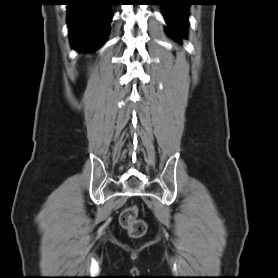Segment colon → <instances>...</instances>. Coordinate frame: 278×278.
<instances>
[{
	"instance_id": "1",
	"label": "colon",
	"mask_w": 278,
	"mask_h": 278,
	"mask_svg": "<svg viewBox=\"0 0 278 278\" xmlns=\"http://www.w3.org/2000/svg\"><path fill=\"white\" fill-rule=\"evenodd\" d=\"M120 223L134 237H140L146 232V223L138 218V208L135 205L129 206L121 213Z\"/></svg>"
}]
</instances>
